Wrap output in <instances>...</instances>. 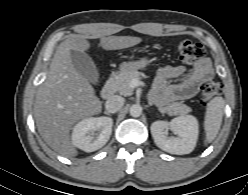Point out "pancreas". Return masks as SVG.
<instances>
[{"label": "pancreas", "mask_w": 248, "mask_h": 195, "mask_svg": "<svg viewBox=\"0 0 248 195\" xmlns=\"http://www.w3.org/2000/svg\"><path fill=\"white\" fill-rule=\"evenodd\" d=\"M141 75L137 70L121 72L109 81V86L114 92H118L121 95H131L133 88L130 86V82L132 79H140ZM160 111L169 115H184L190 112V108L180 102H174L160 109Z\"/></svg>", "instance_id": "obj_1"}]
</instances>
